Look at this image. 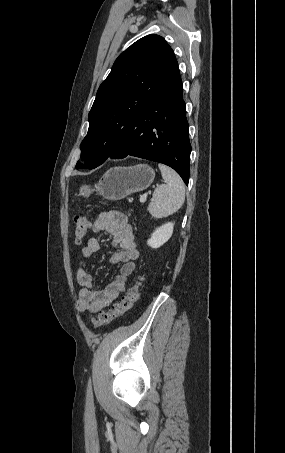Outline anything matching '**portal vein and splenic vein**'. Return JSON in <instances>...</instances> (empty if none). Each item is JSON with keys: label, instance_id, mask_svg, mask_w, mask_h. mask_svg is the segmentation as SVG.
Instances as JSON below:
<instances>
[{"label": "portal vein and splenic vein", "instance_id": "18ae733b", "mask_svg": "<svg viewBox=\"0 0 285 453\" xmlns=\"http://www.w3.org/2000/svg\"><path fill=\"white\" fill-rule=\"evenodd\" d=\"M146 199H147V195H146V194H145V195H142V196L140 197V202H141V203H144V202H146Z\"/></svg>", "mask_w": 285, "mask_h": 453}]
</instances>
